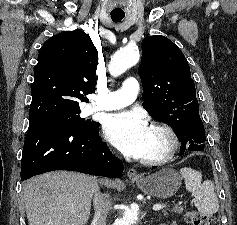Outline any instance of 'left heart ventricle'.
<instances>
[{
	"instance_id": "left-heart-ventricle-1",
	"label": "left heart ventricle",
	"mask_w": 237,
	"mask_h": 225,
	"mask_svg": "<svg viewBox=\"0 0 237 225\" xmlns=\"http://www.w3.org/2000/svg\"><path fill=\"white\" fill-rule=\"evenodd\" d=\"M167 145L168 142L162 134L149 128L146 139L145 153L142 158L157 156L164 153L167 149Z\"/></svg>"
}]
</instances>
